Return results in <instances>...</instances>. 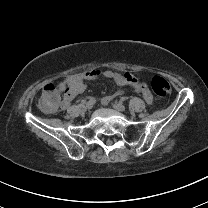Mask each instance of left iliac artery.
I'll return each mask as SVG.
<instances>
[{
	"label": "left iliac artery",
	"mask_w": 208,
	"mask_h": 208,
	"mask_svg": "<svg viewBox=\"0 0 208 208\" xmlns=\"http://www.w3.org/2000/svg\"><path fill=\"white\" fill-rule=\"evenodd\" d=\"M125 100H127L126 97H121V98H120V101H121V102H122V101H125Z\"/></svg>",
	"instance_id": "1"
}]
</instances>
